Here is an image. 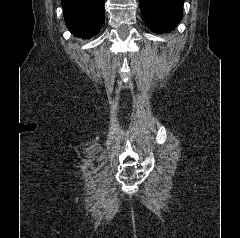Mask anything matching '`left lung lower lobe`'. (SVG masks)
<instances>
[{"label": "left lung lower lobe", "mask_w": 240, "mask_h": 238, "mask_svg": "<svg viewBox=\"0 0 240 238\" xmlns=\"http://www.w3.org/2000/svg\"><path fill=\"white\" fill-rule=\"evenodd\" d=\"M148 27L158 34L170 32L182 20L184 0H139Z\"/></svg>", "instance_id": "obj_1"}]
</instances>
